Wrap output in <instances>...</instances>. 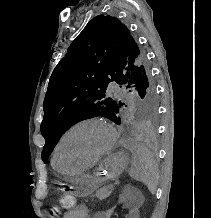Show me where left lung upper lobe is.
Wrapping results in <instances>:
<instances>
[{"mask_svg": "<svg viewBox=\"0 0 211 218\" xmlns=\"http://www.w3.org/2000/svg\"><path fill=\"white\" fill-rule=\"evenodd\" d=\"M110 82L120 88L135 87L141 98L136 108L138 116L154 130L158 108L146 53L119 19L98 15L72 42L51 74L41 124L46 141L42 151L45 163L73 124L95 116L120 124L125 103L106 96Z\"/></svg>", "mask_w": 211, "mask_h": 218, "instance_id": "left-lung-upper-lobe-1", "label": "left lung upper lobe"}]
</instances>
